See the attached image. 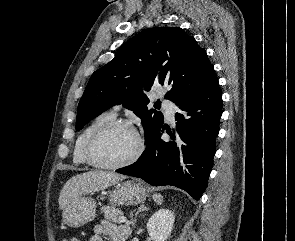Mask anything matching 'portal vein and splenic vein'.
Masks as SVG:
<instances>
[{
	"label": "portal vein and splenic vein",
	"instance_id": "portal-vein-and-splenic-vein-1",
	"mask_svg": "<svg viewBox=\"0 0 295 241\" xmlns=\"http://www.w3.org/2000/svg\"><path fill=\"white\" fill-rule=\"evenodd\" d=\"M119 220H120L121 223L127 222V219L124 216H120Z\"/></svg>",
	"mask_w": 295,
	"mask_h": 241
}]
</instances>
